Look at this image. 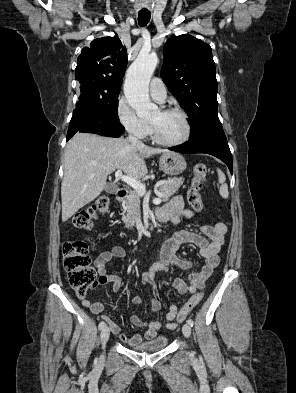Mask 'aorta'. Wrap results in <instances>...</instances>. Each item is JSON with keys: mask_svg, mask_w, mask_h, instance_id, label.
Returning <instances> with one entry per match:
<instances>
[{"mask_svg": "<svg viewBox=\"0 0 296 393\" xmlns=\"http://www.w3.org/2000/svg\"><path fill=\"white\" fill-rule=\"evenodd\" d=\"M157 63L156 55L139 54L127 71L124 94L139 117L148 116L158 110V107L150 102L148 89Z\"/></svg>", "mask_w": 296, "mask_h": 393, "instance_id": "obj_1", "label": "aorta"}]
</instances>
